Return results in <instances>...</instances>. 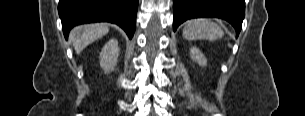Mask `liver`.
Returning a JSON list of instances; mask_svg holds the SVG:
<instances>
[{"label": "liver", "mask_w": 305, "mask_h": 116, "mask_svg": "<svg viewBox=\"0 0 305 116\" xmlns=\"http://www.w3.org/2000/svg\"><path fill=\"white\" fill-rule=\"evenodd\" d=\"M108 32V25L103 23L88 24L75 28L71 32V36L75 37L73 46L76 53H81L89 44L103 37Z\"/></svg>", "instance_id": "6515ba94"}]
</instances>
